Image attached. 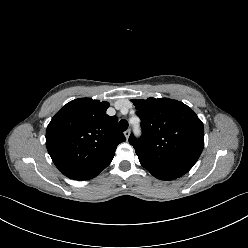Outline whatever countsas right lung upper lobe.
<instances>
[{
  "label": "right lung upper lobe",
  "instance_id": "cb5924a9",
  "mask_svg": "<svg viewBox=\"0 0 248 248\" xmlns=\"http://www.w3.org/2000/svg\"><path fill=\"white\" fill-rule=\"evenodd\" d=\"M108 102L75 99L52 118L46 131V146L63 173L90 172L107 167L117 145L126 139L116 116H108Z\"/></svg>",
  "mask_w": 248,
  "mask_h": 248
}]
</instances>
